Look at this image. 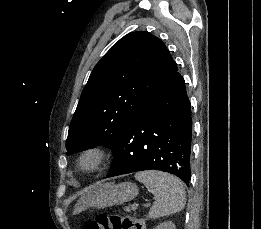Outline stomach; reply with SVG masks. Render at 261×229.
<instances>
[{"label": "stomach", "mask_w": 261, "mask_h": 229, "mask_svg": "<svg viewBox=\"0 0 261 229\" xmlns=\"http://www.w3.org/2000/svg\"><path fill=\"white\" fill-rule=\"evenodd\" d=\"M138 195V187L134 183H97L87 191L85 197L88 205L94 209H105L111 205H122L133 201Z\"/></svg>", "instance_id": "1"}]
</instances>
